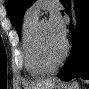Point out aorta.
<instances>
[{"instance_id":"762f6f07","label":"aorta","mask_w":89,"mask_h":89,"mask_svg":"<svg viewBox=\"0 0 89 89\" xmlns=\"http://www.w3.org/2000/svg\"><path fill=\"white\" fill-rule=\"evenodd\" d=\"M71 13H72L73 27H74V29H76V27H77V19H76V13H75L74 2L73 1H71Z\"/></svg>"}]
</instances>
